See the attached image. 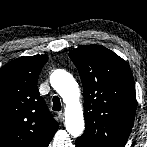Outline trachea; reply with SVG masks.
<instances>
[{"label": "trachea", "instance_id": "obj_1", "mask_svg": "<svg viewBox=\"0 0 147 147\" xmlns=\"http://www.w3.org/2000/svg\"><path fill=\"white\" fill-rule=\"evenodd\" d=\"M52 109L54 111H60L61 110L60 99L57 96L53 97V107H52Z\"/></svg>", "mask_w": 147, "mask_h": 147}]
</instances>
